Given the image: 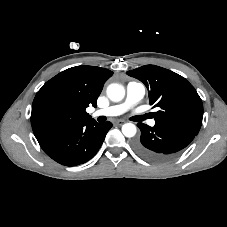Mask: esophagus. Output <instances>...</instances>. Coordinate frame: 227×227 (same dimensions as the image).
<instances>
[{"label":"esophagus","mask_w":227,"mask_h":227,"mask_svg":"<svg viewBox=\"0 0 227 227\" xmlns=\"http://www.w3.org/2000/svg\"><path fill=\"white\" fill-rule=\"evenodd\" d=\"M123 123H124V121H122V120H117V121L115 122L116 125H122Z\"/></svg>","instance_id":"obj_1"}]
</instances>
